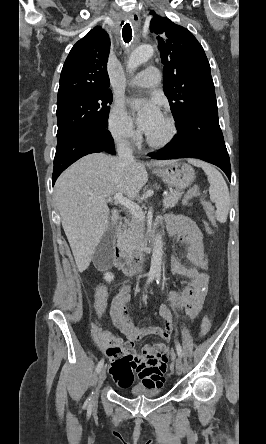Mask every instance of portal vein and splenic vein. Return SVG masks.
<instances>
[{
  "mask_svg": "<svg viewBox=\"0 0 266 444\" xmlns=\"http://www.w3.org/2000/svg\"><path fill=\"white\" fill-rule=\"evenodd\" d=\"M167 195H168V193L165 191L163 193V197H166ZM112 199H114L115 202L120 203L121 205L125 206L135 216H137V217H143L144 216V213H143L142 209L140 208V206L138 204L134 203L132 200L124 197L121 192L116 193L112 197Z\"/></svg>",
  "mask_w": 266,
  "mask_h": 444,
  "instance_id": "obj_1",
  "label": "portal vein and splenic vein"
}]
</instances>
